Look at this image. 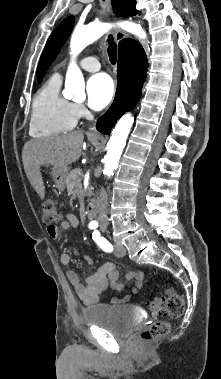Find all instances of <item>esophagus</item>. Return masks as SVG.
Instances as JSON below:
<instances>
[{
	"instance_id": "1",
	"label": "esophagus",
	"mask_w": 221,
	"mask_h": 379,
	"mask_svg": "<svg viewBox=\"0 0 221 379\" xmlns=\"http://www.w3.org/2000/svg\"><path fill=\"white\" fill-rule=\"evenodd\" d=\"M107 2H108V8L110 10V13L113 14L111 0H107ZM125 37H126V34L123 31H121L120 29L115 30V39L117 42L122 41Z\"/></svg>"
}]
</instances>
